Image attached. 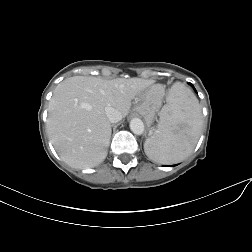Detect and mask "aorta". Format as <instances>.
Segmentation results:
<instances>
[{"mask_svg": "<svg viewBox=\"0 0 252 252\" xmlns=\"http://www.w3.org/2000/svg\"><path fill=\"white\" fill-rule=\"evenodd\" d=\"M130 129L136 135H141L144 132V124L139 118H134L130 121Z\"/></svg>", "mask_w": 252, "mask_h": 252, "instance_id": "1", "label": "aorta"}]
</instances>
